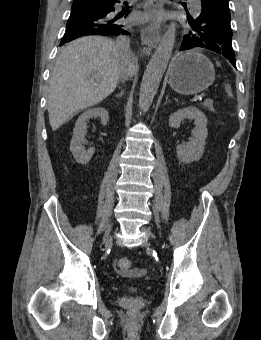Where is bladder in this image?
Instances as JSON below:
<instances>
[{
  "label": "bladder",
  "mask_w": 261,
  "mask_h": 340,
  "mask_svg": "<svg viewBox=\"0 0 261 340\" xmlns=\"http://www.w3.org/2000/svg\"><path fill=\"white\" fill-rule=\"evenodd\" d=\"M139 288V284L137 282H128L126 284V289L130 292V293H134L138 290Z\"/></svg>",
  "instance_id": "obj_1"
}]
</instances>
